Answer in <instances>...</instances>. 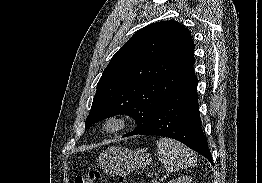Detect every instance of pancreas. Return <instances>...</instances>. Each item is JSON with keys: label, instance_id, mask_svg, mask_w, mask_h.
I'll list each match as a JSON object with an SVG mask.
<instances>
[{"label": "pancreas", "instance_id": "cf45deb5", "mask_svg": "<svg viewBox=\"0 0 262 183\" xmlns=\"http://www.w3.org/2000/svg\"><path fill=\"white\" fill-rule=\"evenodd\" d=\"M165 179V177H163L161 180L163 181ZM152 183H159L158 181L156 180H152Z\"/></svg>", "mask_w": 262, "mask_h": 183}]
</instances>
